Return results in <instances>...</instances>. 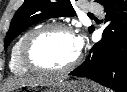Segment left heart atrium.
I'll return each mask as SVG.
<instances>
[{
    "label": "left heart atrium",
    "instance_id": "39dd6f15",
    "mask_svg": "<svg viewBox=\"0 0 127 92\" xmlns=\"http://www.w3.org/2000/svg\"><path fill=\"white\" fill-rule=\"evenodd\" d=\"M75 42H76L77 50L78 52H80L83 47V38L81 36H77L75 37Z\"/></svg>",
    "mask_w": 127,
    "mask_h": 92
}]
</instances>
